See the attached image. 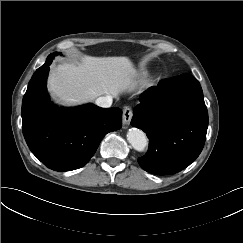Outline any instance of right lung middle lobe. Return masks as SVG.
Here are the masks:
<instances>
[{
    "label": "right lung middle lobe",
    "instance_id": "right-lung-middle-lobe-1",
    "mask_svg": "<svg viewBox=\"0 0 243 243\" xmlns=\"http://www.w3.org/2000/svg\"><path fill=\"white\" fill-rule=\"evenodd\" d=\"M56 54H57V53H52V54H50V55H49V58H50V59H53V57H54Z\"/></svg>",
    "mask_w": 243,
    "mask_h": 243
}]
</instances>
